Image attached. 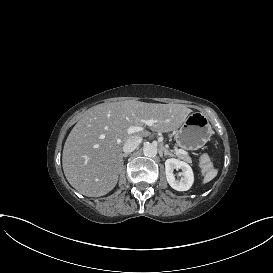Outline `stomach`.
Instances as JSON below:
<instances>
[{"label":"stomach","mask_w":273,"mask_h":273,"mask_svg":"<svg viewBox=\"0 0 273 273\" xmlns=\"http://www.w3.org/2000/svg\"><path fill=\"white\" fill-rule=\"evenodd\" d=\"M213 135L208 118L201 112L186 117L174 138L177 146L185 150H197L205 145Z\"/></svg>","instance_id":"stomach-1"}]
</instances>
